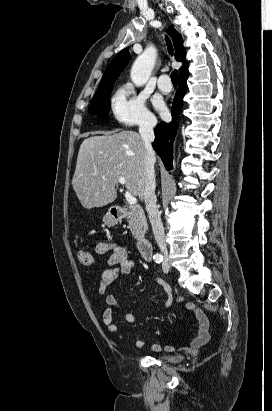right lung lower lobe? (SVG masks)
Returning <instances> with one entry per match:
<instances>
[{
  "instance_id": "1",
  "label": "right lung lower lobe",
  "mask_w": 272,
  "mask_h": 411,
  "mask_svg": "<svg viewBox=\"0 0 272 411\" xmlns=\"http://www.w3.org/2000/svg\"><path fill=\"white\" fill-rule=\"evenodd\" d=\"M187 76L179 77V86L177 93L173 100V105L171 109L172 122L164 123L161 122L155 128V140L153 142V148L156 153L162 159L166 169L169 171L172 169L173 161V142L176 135L177 123L179 119V114L182 109L183 97L187 90Z\"/></svg>"
}]
</instances>
